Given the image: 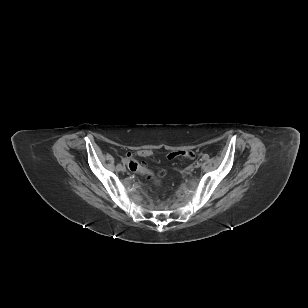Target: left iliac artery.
I'll list each match as a JSON object with an SVG mask.
<instances>
[{"label": "left iliac artery", "mask_w": 308, "mask_h": 308, "mask_svg": "<svg viewBox=\"0 0 308 308\" xmlns=\"http://www.w3.org/2000/svg\"><path fill=\"white\" fill-rule=\"evenodd\" d=\"M203 158H204V160H206V161H207V160H209V158H210V157H209V155H207V154H206V155H204V157H203Z\"/></svg>", "instance_id": "44dca946"}]
</instances>
